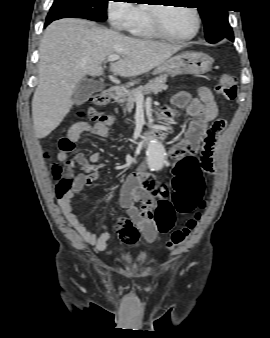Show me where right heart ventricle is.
<instances>
[{
    "label": "right heart ventricle",
    "mask_w": 270,
    "mask_h": 338,
    "mask_svg": "<svg viewBox=\"0 0 270 338\" xmlns=\"http://www.w3.org/2000/svg\"><path fill=\"white\" fill-rule=\"evenodd\" d=\"M138 12V19L131 23L126 30L138 37L151 39L155 38L156 34L150 26L149 20V8L148 7H136Z\"/></svg>",
    "instance_id": "1"
}]
</instances>
